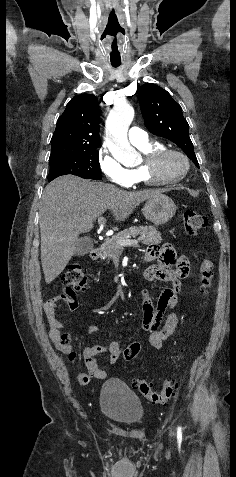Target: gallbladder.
<instances>
[{
    "label": "gallbladder",
    "mask_w": 236,
    "mask_h": 477,
    "mask_svg": "<svg viewBox=\"0 0 236 477\" xmlns=\"http://www.w3.org/2000/svg\"><path fill=\"white\" fill-rule=\"evenodd\" d=\"M93 247V240L88 237H82L78 240L76 245V255L83 256L87 254Z\"/></svg>",
    "instance_id": "bac80fb5"
}]
</instances>
